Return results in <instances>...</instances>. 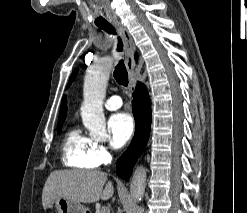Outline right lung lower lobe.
Wrapping results in <instances>:
<instances>
[{
    "label": "right lung lower lobe",
    "mask_w": 247,
    "mask_h": 213,
    "mask_svg": "<svg viewBox=\"0 0 247 213\" xmlns=\"http://www.w3.org/2000/svg\"><path fill=\"white\" fill-rule=\"evenodd\" d=\"M133 98L135 135L116 165L117 174L126 181L131 176L133 167L148 142L151 129V102L146 87L142 83L137 84Z\"/></svg>",
    "instance_id": "1"
}]
</instances>
